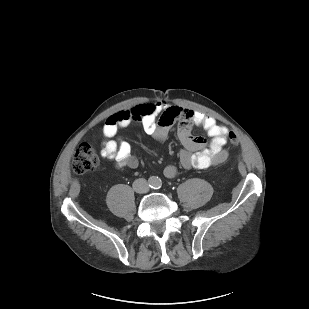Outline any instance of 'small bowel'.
<instances>
[{"instance_id": "c3829d8e", "label": "small bowel", "mask_w": 309, "mask_h": 309, "mask_svg": "<svg viewBox=\"0 0 309 309\" xmlns=\"http://www.w3.org/2000/svg\"><path fill=\"white\" fill-rule=\"evenodd\" d=\"M140 123L144 131L156 141H164L173 125H177V136L182 149L179 154L181 167L206 169L222 164L228 157L225 149L229 130L225 125L200 111L186 107L173 106L165 101L138 103L128 109L110 116L103 127L101 155L115 163L117 167H138V159L132 155L131 145L116 138L119 128ZM205 130L210 140L205 141L192 135V128ZM177 174L176 167L169 165L164 169L167 178Z\"/></svg>"}]
</instances>
